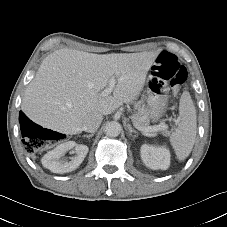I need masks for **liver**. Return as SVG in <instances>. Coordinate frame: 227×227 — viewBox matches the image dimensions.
Wrapping results in <instances>:
<instances>
[{"mask_svg":"<svg viewBox=\"0 0 227 227\" xmlns=\"http://www.w3.org/2000/svg\"><path fill=\"white\" fill-rule=\"evenodd\" d=\"M156 52L93 54L60 49L48 55L29 83L21 109L33 122L66 135L83 131L87 116L108 115L133 103L142 91ZM116 86L102 96L109 80Z\"/></svg>","mask_w":227,"mask_h":227,"instance_id":"6515ba94","label":"liver"}]
</instances>
